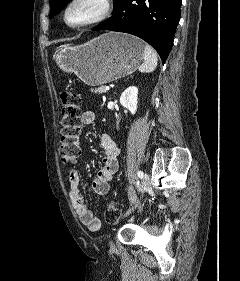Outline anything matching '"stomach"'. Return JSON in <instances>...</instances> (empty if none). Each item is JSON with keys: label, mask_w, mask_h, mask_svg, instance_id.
<instances>
[{"label": "stomach", "mask_w": 240, "mask_h": 281, "mask_svg": "<svg viewBox=\"0 0 240 281\" xmlns=\"http://www.w3.org/2000/svg\"><path fill=\"white\" fill-rule=\"evenodd\" d=\"M144 48L137 37L110 32L82 45L65 46L56 51L54 60L63 71L96 86L133 73L143 59Z\"/></svg>", "instance_id": "1"}]
</instances>
